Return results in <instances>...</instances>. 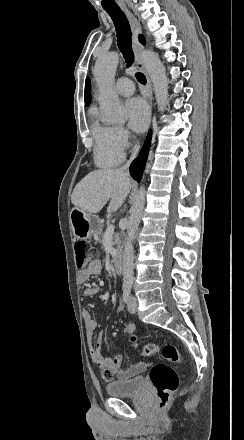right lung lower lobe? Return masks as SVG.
<instances>
[{"mask_svg":"<svg viewBox=\"0 0 244 440\" xmlns=\"http://www.w3.org/2000/svg\"><path fill=\"white\" fill-rule=\"evenodd\" d=\"M151 138H152V134L151 131H149L147 138L144 142V145L142 147V150L140 151L138 157L130 165V174L132 178L137 182H140L145 168L148 152L150 149Z\"/></svg>","mask_w":244,"mask_h":440,"instance_id":"98d812e1","label":"right lung lower lobe"}]
</instances>
